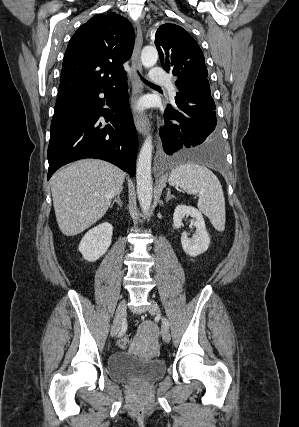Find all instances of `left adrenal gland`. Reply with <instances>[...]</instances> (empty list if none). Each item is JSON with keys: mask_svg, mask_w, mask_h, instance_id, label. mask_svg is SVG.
<instances>
[{"mask_svg": "<svg viewBox=\"0 0 299 427\" xmlns=\"http://www.w3.org/2000/svg\"><path fill=\"white\" fill-rule=\"evenodd\" d=\"M171 198H175V197L173 195H171L170 188H167L166 202H168Z\"/></svg>", "mask_w": 299, "mask_h": 427, "instance_id": "obj_1", "label": "left adrenal gland"}]
</instances>
